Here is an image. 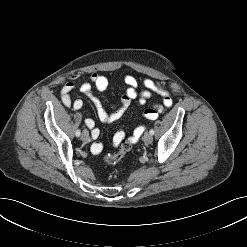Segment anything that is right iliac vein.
<instances>
[{"label":"right iliac vein","instance_id":"1","mask_svg":"<svg viewBox=\"0 0 247 247\" xmlns=\"http://www.w3.org/2000/svg\"><path fill=\"white\" fill-rule=\"evenodd\" d=\"M88 138H89V133H88V131H87V130H83V132H82V134H81V139H82L83 141H86V140H88Z\"/></svg>","mask_w":247,"mask_h":247}]
</instances>
